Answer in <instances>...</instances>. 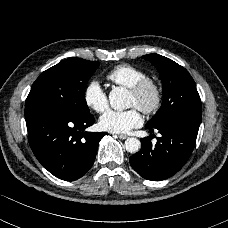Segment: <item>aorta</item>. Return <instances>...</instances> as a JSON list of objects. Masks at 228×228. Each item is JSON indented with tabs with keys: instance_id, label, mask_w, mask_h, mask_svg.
<instances>
[{
	"instance_id": "obj_1",
	"label": "aorta",
	"mask_w": 228,
	"mask_h": 228,
	"mask_svg": "<svg viewBox=\"0 0 228 228\" xmlns=\"http://www.w3.org/2000/svg\"><path fill=\"white\" fill-rule=\"evenodd\" d=\"M129 97V91L124 87H115L109 93V103L114 110L122 111L131 106L130 102H127ZM124 147L129 153H136L141 148V142L137 138H127Z\"/></svg>"
}]
</instances>
